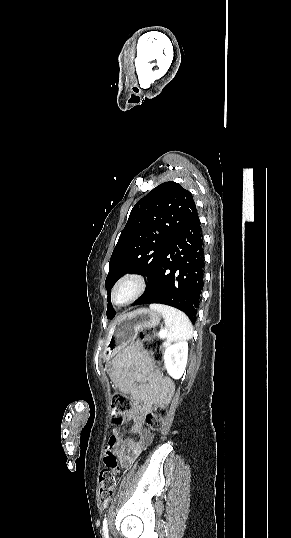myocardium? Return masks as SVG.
<instances>
[{
  "label": "myocardium",
  "mask_w": 291,
  "mask_h": 538,
  "mask_svg": "<svg viewBox=\"0 0 291 538\" xmlns=\"http://www.w3.org/2000/svg\"><path fill=\"white\" fill-rule=\"evenodd\" d=\"M124 287L130 288V292L124 300L118 301L117 294ZM146 289V278L140 273L130 272L124 274L115 282L111 289L110 301L114 306L123 307L139 299Z\"/></svg>",
  "instance_id": "f54148a6"
}]
</instances>
